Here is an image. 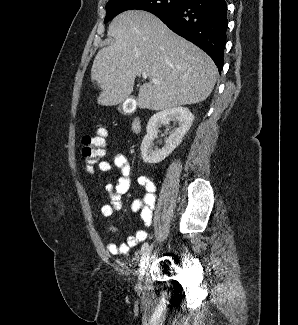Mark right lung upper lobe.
<instances>
[{
  "mask_svg": "<svg viewBox=\"0 0 298 325\" xmlns=\"http://www.w3.org/2000/svg\"><path fill=\"white\" fill-rule=\"evenodd\" d=\"M114 1V0H109V2ZM159 13V12H158Z\"/></svg>",
  "mask_w": 298,
  "mask_h": 325,
  "instance_id": "right-lung-upper-lobe-1",
  "label": "right lung upper lobe"
}]
</instances>
